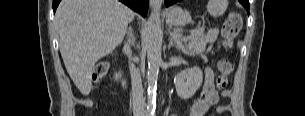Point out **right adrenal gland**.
Instances as JSON below:
<instances>
[{
  "label": "right adrenal gland",
  "instance_id": "1",
  "mask_svg": "<svg viewBox=\"0 0 305 116\" xmlns=\"http://www.w3.org/2000/svg\"><path fill=\"white\" fill-rule=\"evenodd\" d=\"M127 34H128V40L131 42V44H133L135 41V37L133 35L131 26L128 28Z\"/></svg>",
  "mask_w": 305,
  "mask_h": 116
}]
</instances>
